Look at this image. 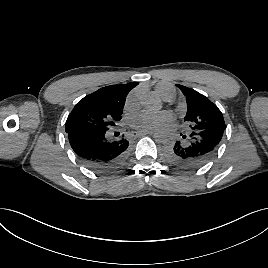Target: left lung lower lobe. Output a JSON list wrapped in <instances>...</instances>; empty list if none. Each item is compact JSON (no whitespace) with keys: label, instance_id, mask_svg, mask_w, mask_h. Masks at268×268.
Masks as SVG:
<instances>
[{"label":"left lung lower lobe","instance_id":"obj_1","mask_svg":"<svg viewBox=\"0 0 268 268\" xmlns=\"http://www.w3.org/2000/svg\"><path fill=\"white\" fill-rule=\"evenodd\" d=\"M224 129L193 131L185 142L177 141L171 151V160L184 169H196L217 152Z\"/></svg>","mask_w":268,"mask_h":268}]
</instances>
